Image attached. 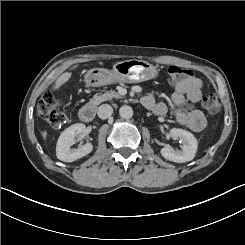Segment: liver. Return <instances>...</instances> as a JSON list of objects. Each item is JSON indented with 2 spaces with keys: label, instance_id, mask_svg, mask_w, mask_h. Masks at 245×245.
<instances>
[{
  "label": "liver",
  "instance_id": "obj_1",
  "mask_svg": "<svg viewBox=\"0 0 245 245\" xmlns=\"http://www.w3.org/2000/svg\"><path fill=\"white\" fill-rule=\"evenodd\" d=\"M76 67H77V65H74V66H73V68H76ZM70 77H71V73H69V72L63 73L61 76H59V77L57 78V80H56L55 85H54L53 88H54V89L60 88L64 83H66V82L69 80ZM41 134H42V137H43L44 139H46V137H47V132L44 131V132H42Z\"/></svg>",
  "mask_w": 245,
  "mask_h": 245
}]
</instances>
